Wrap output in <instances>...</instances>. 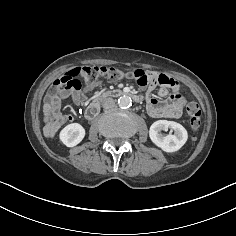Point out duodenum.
Wrapping results in <instances>:
<instances>
[{
	"mask_svg": "<svg viewBox=\"0 0 236 236\" xmlns=\"http://www.w3.org/2000/svg\"><path fill=\"white\" fill-rule=\"evenodd\" d=\"M107 94H109V92L98 93L94 97V99L92 100V102L90 103V105L87 107V109L85 111V117L87 119H92L93 117H95L97 115V113L99 111L100 101H101L102 97H104ZM130 96L135 102H140L142 100V98L139 94L130 93Z\"/></svg>",
	"mask_w": 236,
	"mask_h": 236,
	"instance_id": "410a0bca",
	"label": "duodenum"
}]
</instances>
